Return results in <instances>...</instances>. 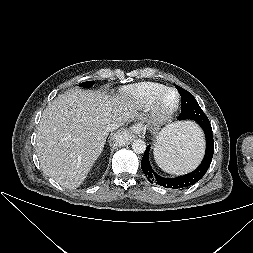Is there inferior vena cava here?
<instances>
[{"label":"inferior vena cava","instance_id":"obj_1","mask_svg":"<svg viewBox=\"0 0 253 253\" xmlns=\"http://www.w3.org/2000/svg\"><path fill=\"white\" fill-rule=\"evenodd\" d=\"M118 127H119L118 124H112V125H110V126L107 127V130L112 131L114 129H117Z\"/></svg>","mask_w":253,"mask_h":253}]
</instances>
